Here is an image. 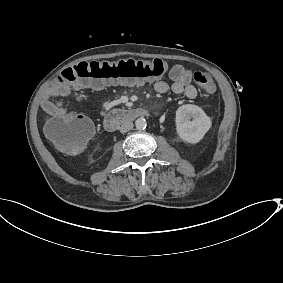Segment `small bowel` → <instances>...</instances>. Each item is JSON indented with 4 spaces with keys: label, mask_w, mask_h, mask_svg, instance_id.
<instances>
[{
    "label": "small bowel",
    "mask_w": 283,
    "mask_h": 283,
    "mask_svg": "<svg viewBox=\"0 0 283 283\" xmlns=\"http://www.w3.org/2000/svg\"><path fill=\"white\" fill-rule=\"evenodd\" d=\"M169 78L172 80L168 84L162 80H155L152 84L153 89L158 93L173 92L176 94L183 93L187 98L194 99L198 95V91L191 84L192 73L182 65H174L169 70ZM72 88L67 84H59L56 81L52 83L45 91L42 108L44 112L52 117H61L67 114V108L63 102L59 101L60 97L70 95Z\"/></svg>",
    "instance_id": "1"
}]
</instances>
